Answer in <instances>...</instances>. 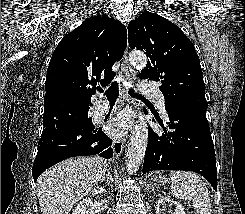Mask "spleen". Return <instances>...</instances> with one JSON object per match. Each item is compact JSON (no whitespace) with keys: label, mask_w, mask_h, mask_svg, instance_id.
Returning a JSON list of instances; mask_svg holds the SVG:
<instances>
[{"label":"spleen","mask_w":245,"mask_h":214,"mask_svg":"<svg viewBox=\"0 0 245 214\" xmlns=\"http://www.w3.org/2000/svg\"><path fill=\"white\" fill-rule=\"evenodd\" d=\"M170 177L171 192L176 198L192 201L196 214H212L208 189L198 175L189 171H173Z\"/></svg>","instance_id":"1"}]
</instances>
